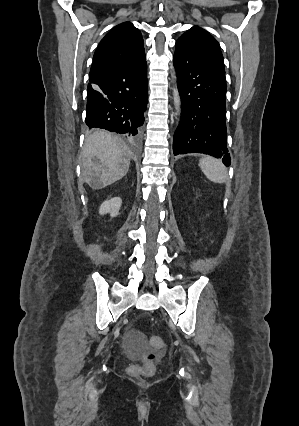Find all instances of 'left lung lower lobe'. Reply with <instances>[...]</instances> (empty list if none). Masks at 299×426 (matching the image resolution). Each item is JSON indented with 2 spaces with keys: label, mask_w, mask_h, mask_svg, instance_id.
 Here are the masks:
<instances>
[{
  "label": "left lung lower lobe",
  "mask_w": 299,
  "mask_h": 426,
  "mask_svg": "<svg viewBox=\"0 0 299 426\" xmlns=\"http://www.w3.org/2000/svg\"><path fill=\"white\" fill-rule=\"evenodd\" d=\"M173 64L181 97V120L173 139L175 155L204 153L223 157L230 166L226 144V82L201 62L175 50Z\"/></svg>",
  "instance_id": "1"
}]
</instances>
